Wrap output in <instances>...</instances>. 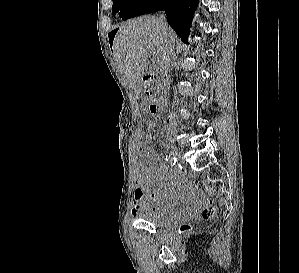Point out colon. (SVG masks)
Returning a JSON list of instances; mask_svg holds the SVG:
<instances>
[{"instance_id":"1","label":"colon","mask_w":299,"mask_h":273,"mask_svg":"<svg viewBox=\"0 0 299 273\" xmlns=\"http://www.w3.org/2000/svg\"><path fill=\"white\" fill-rule=\"evenodd\" d=\"M150 143L151 142L149 140H145L146 145H150ZM215 215H216V207L212 201H208L202 210V217L205 220H211L215 217ZM190 231H191V226L188 224H183L179 228V232L182 234H187Z\"/></svg>"}]
</instances>
